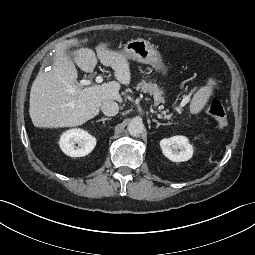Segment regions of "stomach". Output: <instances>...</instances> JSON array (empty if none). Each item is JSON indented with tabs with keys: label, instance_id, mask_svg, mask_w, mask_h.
<instances>
[{
	"label": "stomach",
	"instance_id": "stomach-1",
	"mask_svg": "<svg viewBox=\"0 0 255 255\" xmlns=\"http://www.w3.org/2000/svg\"><path fill=\"white\" fill-rule=\"evenodd\" d=\"M122 53L128 60L149 64L155 71L162 75H166L168 72V68L163 63L160 53L145 39L137 38L128 41L125 44Z\"/></svg>",
	"mask_w": 255,
	"mask_h": 255
}]
</instances>
